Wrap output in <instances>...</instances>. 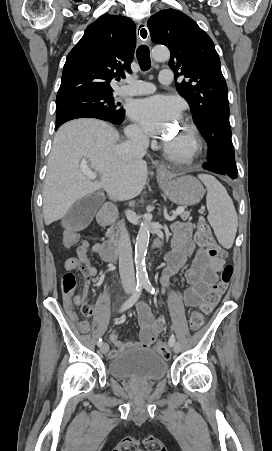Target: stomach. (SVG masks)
<instances>
[{
	"mask_svg": "<svg viewBox=\"0 0 272 451\" xmlns=\"http://www.w3.org/2000/svg\"><path fill=\"white\" fill-rule=\"evenodd\" d=\"M157 182L161 184L165 196L179 206H195L205 194L201 182L193 176L169 174L167 178H163L157 174Z\"/></svg>",
	"mask_w": 272,
	"mask_h": 451,
	"instance_id": "0dacf381",
	"label": "stomach"
}]
</instances>
